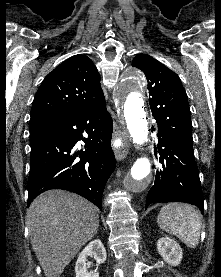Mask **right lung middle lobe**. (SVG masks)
I'll use <instances>...</instances> for the list:
<instances>
[{
  "mask_svg": "<svg viewBox=\"0 0 221 277\" xmlns=\"http://www.w3.org/2000/svg\"><path fill=\"white\" fill-rule=\"evenodd\" d=\"M42 131L30 126V143L41 136Z\"/></svg>",
  "mask_w": 221,
  "mask_h": 277,
  "instance_id": "obj_1",
  "label": "right lung middle lobe"
}]
</instances>
